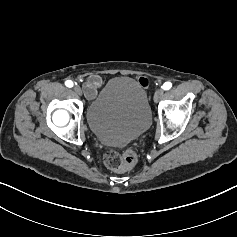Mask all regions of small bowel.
Masks as SVG:
<instances>
[{
	"label": "small bowel",
	"instance_id": "1",
	"mask_svg": "<svg viewBox=\"0 0 237 237\" xmlns=\"http://www.w3.org/2000/svg\"><path fill=\"white\" fill-rule=\"evenodd\" d=\"M139 83L143 87H147L149 85V81L145 77H140ZM102 84H103V79L99 75L89 76L84 84L85 96L89 99H93L96 96L97 91L102 86Z\"/></svg>",
	"mask_w": 237,
	"mask_h": 237
}]
</instances>
